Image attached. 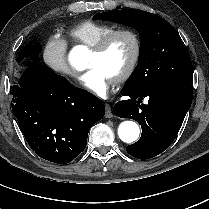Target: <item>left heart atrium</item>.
I'll return each instance as SVG.
<instances>
[{
    "label": "left heart atrium",
    "mask_w": 209,
    "mask_h": 209,
    "mask_svg": "<svg viewBox=\"0 0 209 209\" xmlns=\"http://www.w3.org/2000/svg\"><path fill=\"white\" fill-rule=\"evenodd\" d=\"M80 82L91 93L104 98L116 79L109 77L100 68L92 67L80 75Z\"/></svg>",
    "instance_id": "obj_1"
}]
</instances>
